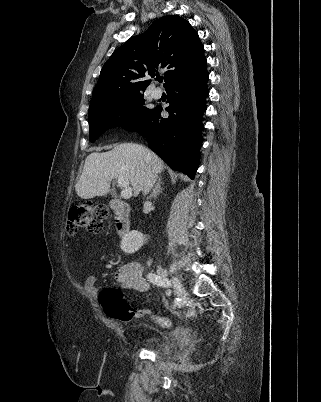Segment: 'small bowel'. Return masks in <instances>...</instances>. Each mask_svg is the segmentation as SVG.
<instances>
[{
  "mask_svg": "<svg viewBox=\"0 0 321 402\" xmlns=\"http://www.w3.org/2000/svg\"><path fill=\"white\" fill-rule=\"evenodd\" d=\"M115 277L126 289L144 293L150 288L149 282L143 276V267L138 262L124 264L116 271ZM86 287L90 290H96L94 277L87 279Z\"/></svg>",
  "mask_w": 321,
  "mask_h": 402,
  "instance_id": "1",
  "label": "small bowel"
}]
</instances>
